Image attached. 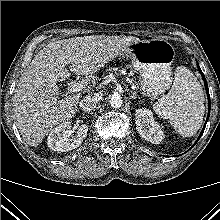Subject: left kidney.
<instances>
[{
    "instance_id": "obj_1",
    "label": "left kidney",
    "mask_w": 220,
    "mask_h": 220,
    "mask_svg": "<svg viewBox=\"0 0 220 220\" xmlns=\"http://www.w3.org/2000/svg\"><path fill=\"white\" fill-rule=\"evenodd\" d=\"M135 119L136 129L142 138L153 144H159L163 140V131L154 120L150 110L144 108L137 109Z\"/></svg>"
}]
</instances>
